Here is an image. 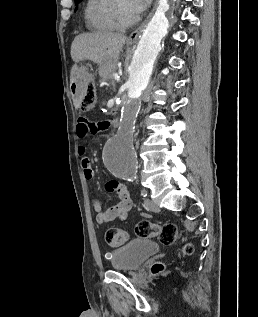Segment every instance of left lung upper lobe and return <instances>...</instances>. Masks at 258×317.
<instances>
[{
  "instance_id": "left-lung-upper-lobe-1",
  "label": "left lung upper lobe",
  "mask_w": 258,
  "mask_h": 317,
  "mask_svg": "<svg viewBox=\"0 0 258 317\" xmlns=\"http://www.w3.org/2000/svg\"><path fill=\"white\" fill-rule=\"evenodd\" d=\"M82 0H75V4H79Z\"/></svg>"
}]
</instances>
